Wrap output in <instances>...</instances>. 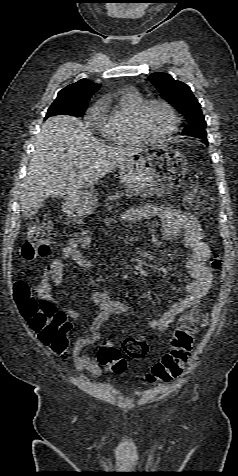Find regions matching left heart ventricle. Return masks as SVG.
Returning a JSON list of instances; mask_svg holds the SVG:
<instances>
[{"mask_svg": "<svg viewBox=\"0 0 238 476\" xmlns=\"http://www.w3.org/2000/svg\"><path fill=\"white\" fill-rule=\"evenodd\" d=\"M143 125L151 136H161L169 129L171 117L164 106L152 104L143 115Z\"/></svg>", "mask_w": 238, "mask_h": 476, "instance_id": "left-heart-ventricle-1", "label": "left heart ventricle"}]
</instances>
